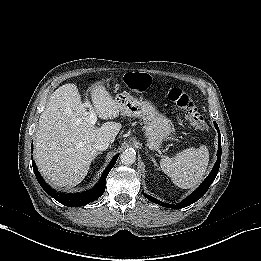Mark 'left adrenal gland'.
I'll use <instances>...</instances> for the list:
<instances>
[{
	"mask_svg": "<svg viewBox=\"0 0 261 261\" xmlns=\"http://www.w3.org/2000/svg\"><path fill=\"white\" fill-rule=\"evenodd\" d=\"M151 158H152L154 165L158 168V164H157L156 160L153 157H151ZM158 169H160V168H158Z\"/></svg>",
	"mask_w": 261,
	"mask_h": 261,
	"instance_id": "left-adrenal-gland-1",
	"label": "left adrenal gland"
}]
</instances>
